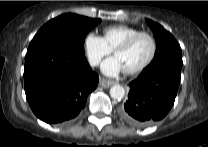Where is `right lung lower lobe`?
<instances>
[{"label": "right lung lower lobe", "mask_w": 208, "mask_h": 147, "mask_svg": "<svg viewBox=\"0 0 208 147\" xmlns=\"http://www.w3.org/2000/svg\"><path fill=\"white\" fill-rule=\"evenodd\" d=\"M98 81L84 54L66 44H49L26 53V98L34 114L46 123L74 119Z\"/></svg>", "instance_id": "right-lung-lower-lobe-1"}]
</instances>
